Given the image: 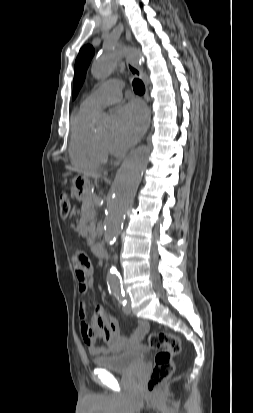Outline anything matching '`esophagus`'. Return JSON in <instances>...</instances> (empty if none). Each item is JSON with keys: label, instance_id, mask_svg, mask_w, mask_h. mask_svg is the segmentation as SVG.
I'll use <instances>...</instances> for the list:
<instances>
[{"label": "esophagus", "instance_id": "1", "mask_svg": "<svg viewBox=\"0 0 253 413\" xmlns=\"http://www.w3.org/2000/svg\"><path fill=\"white\" fill-rule=\"evenodd\" d=\"M126 39L127 41H131V33L128 29L126 30ZM127 68L131 75L142 79L143 77L142 70L135 63H133L131 59L129 58L127 59Z\"/></svg>", "mask_w": 253, "mask_h": 413}]
</instances>
